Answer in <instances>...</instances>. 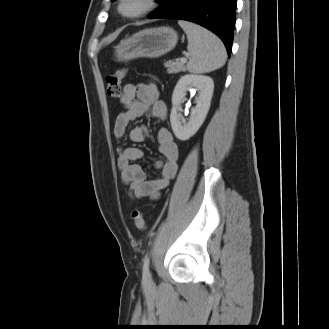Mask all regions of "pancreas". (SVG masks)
I'll list each match as a JSON object with an SVG mask.
<instances>
[{
	"label": "pancreas",
	"instance_id": "cf45deb5",
	"mask_svg": "<svg viewBox=\"0 0 329 329\" xmlns=\"http://www.w3.org/2000/svg\"><path fill=\"white\" fill-rule=\"evenodd\" d=\"M164 66L167 68V72L170 74L178 73L186 70L184 63L179 61L176 62L168 61L164 64Z\"/></svg>",
	"mask_w": 329,
	"mask_h": 329
}]
</instances>
